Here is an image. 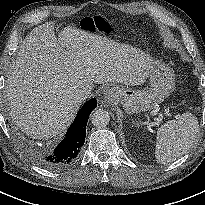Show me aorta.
<instances>
[{
	"label": "aorta",
	"instance_id": "aorta-1",
	"mask_svg": "<svg viewBox=\"0 0 205 205\" xmlns=\"http://www.w3.org/2000/svg\"><path fill=\"white\" fill-rule=\"evenodd\" d=\"M91 121L97 128L105 127L110 121L109 113L105 110H97L92 114Z\"/></svg>",
	"mask_w": 205,
	"mask_h": 205
}]
</instances>
